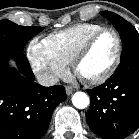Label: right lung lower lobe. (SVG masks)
<instances>
[{
	"instance_id": "obj_1",
	"label": "right lung lower lobe",
	"mask_w": 139,
	"mask_h": 139,
	"mask_svg": "<svg viewBox=\"0 0 139 139\" xmlns=\"http://www.w3.org/2000/svg\"><path fill=\"white\" fill-rule=\"evenodd\" d=\"M10 59L16 68L8 65ZM34 80L23 50L0 46V139H40L66 99L63 86L43 87Z\"/></svg>"
}]
</instances>
